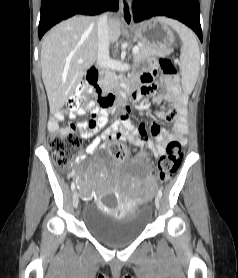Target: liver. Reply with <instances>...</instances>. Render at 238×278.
<instances>
[{"mask_svg":"<svg viewBox=\"0 0 238 278\" xmlns=\"http://www.w3.org/2000/svg\"><path fill=\"white\" fill-rule=\"evenodd\" d=\"M97 23L95 17L74 16L53 27L44 37L41 70L51 113L64 106L97 59ZM108 28L110 43L117 42L120 21L110 18ZM80 59L83 62H78Z\"/></svg>","mask_w":238,"mask_h":278,"instance_id":"liver-1","label":"liver"}]
</instances>
